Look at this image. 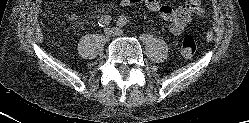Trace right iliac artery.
I'll return each instance as SVG.
<instances>
[{
  "label": "right iliac artery",
  "mask_w": 249,
  "mask_h": 123,
  "mask_svg": "<svg viewBox=\"0 0 249 123\" xmlns=\"http://www.w3.org/2000/svg\"><path fill=\"white\" fill-rule=\"evenodd\" d=\"M110 22H111V16L105 15L99 19L98 25L101 27H106L110 24Z\"/></svg>",
  "instance_id": "1"
}]
</instances>
